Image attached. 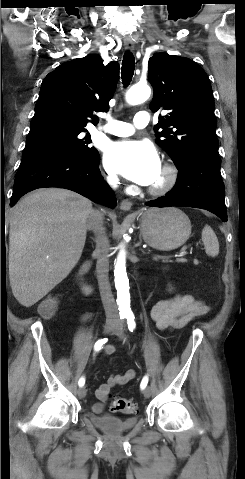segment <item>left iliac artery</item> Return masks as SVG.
<instances>
[{"instance_id": "obj_1", "label": "left iliac artery", "mask_w": 245, "mask_h": 479, "mask_svg": "<svg viewBox=\"0 0 245 479\" xmlns=\"http://www.w3.org/2000/svg\"><path fill=\"white\" fill-rule=\"evenodd\" d=\"M127 318V324H128V329L133 332V330L135 329L136 327V323L134 321L135 317L133 314H128L126 316ZM147 383H148V376H145L142 381H141V384H140V387L141 389H144L146 386H147Z\"/></svg>"}]
</instances>
